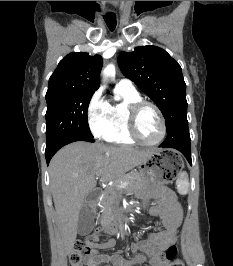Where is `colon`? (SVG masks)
<instances>
[{
    "instance_id": "1",
    "label": "colon",
    "mask_w": 233,
    "mask_h": 266,
    "mask_svg": "<svg viewBox=\"0 0 233 266\" xmlns=\"http://www.w3.org/2000/svg\"><path fill=\"white\" fill-rule=\"evenodd\" d=\"M101 236L100 231H96L93 234L87 236L84 240H78L75 244V248L70 255V266H83L82 259L86 256L91 249V245L95 243ZM176 247L174 245L169 246L166 249V257L170 262L169 266H184V263L175 259Z\"/></svg>"
}]
</instances>
